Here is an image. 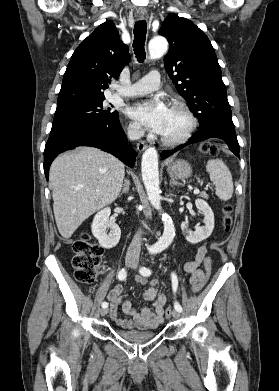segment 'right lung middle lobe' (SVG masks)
<instances>
[{
  "instance_id": "dd1d6c3e",
  "label": "right lung middle lobe",
  "mask_w": 279,
  "mask_h": 391,
  "mask_svg": "<svg viewBox=\"0 0 279 391\" xmlns=\"http://www.w3.org/2000/svg\"><path fill=\"white\" fill-rule=\"evenodd\" d=\"M104 99L86 101L56 109L52 127L101 122L118 115L110 108H103Z\"/></svg>"
}]
</instances>
